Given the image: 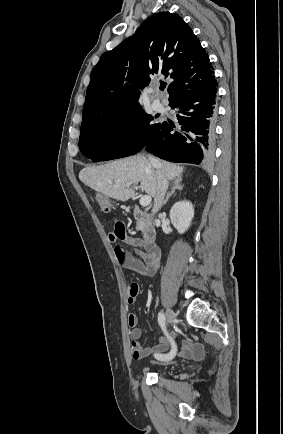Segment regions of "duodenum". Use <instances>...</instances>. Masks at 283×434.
<instances>
[{
	"label": "duodenum",
	"instance_id": "obj_1",
	"mask_svg": "<svg viewBox=\"0 0 283 434\" xmlns=\"http://www.w3.org/2000/svg\"><path fill=\"white\" fill-rule=\"evenodd\" d=\"M134 218L141 224L144 243L152 250L159 252L156 240V229L153 224L152 216L139 207H133ZM126 233V232H125Z\"/></svg>",
	"mask_w": 283,
	"mask_h": 434
}]
</instances>
